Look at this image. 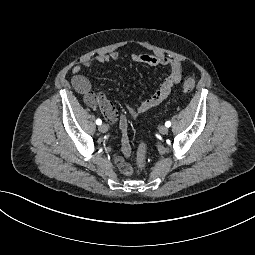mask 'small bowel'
<instances>
[{"instance_id":"c3829d8e","label":"small bowel","mask_w":255,"mask_h":255,"mask_svg":"<svg viewBox=\"0 0 255 255\" xmlns=\"http://www.w3.org/2000/svg\"><path fill=\"white\" fill-rule=\"evenodd\" d=\"M132 60L137 63L146 64L149 66H164L169 69L168 76L164 79L161 85L150 95L149 98L142 101L134 108H130V113L133 117L139 116L167 99L171 93L172 88L181 81L183 75V68L181 63L173 58L162 54L151 53H135L131 56ZM119 53L114 51L109 54H99L92 58L86 59L81 65L72 67V85L75 90L84 96L85 103L92 107H99L104 116L110 122L118 121L119 128L122 132L121 144L123 156H115V163L119 170L125 174L130 175L133 169L125 159L131 156L132 149L127 134L128 119L125 114H120L107 99L105 94L99 92L95 93L91 89L90 81L81 74L83 68L89 69L95 66L104 65L109 62L117 61Z\"/></svg>"}]
</instances>
